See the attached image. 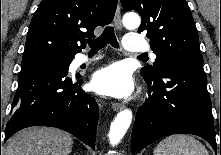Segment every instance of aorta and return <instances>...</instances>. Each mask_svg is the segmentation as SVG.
I'll return each mask as SVG.
<instances>
[{"instance_id": "aorta-1", "label": "aorta", "mask_w": 221, "mask_h": 155, "mask_svg": "<svg viewBox=\"0 0 221 155\" xmlns=\"http://www.w3.org/2000/svg\"><path fill=\"white\" fill-rule=\"evenodd\" d=\"M140 17L135 13H129L124 16L123 23L129 29H135L140 25ZM132 121V111L124 109L120 111L111 123L109 140L112 146L117 145L128 130Z\"/></svg>"}]
</instances>
